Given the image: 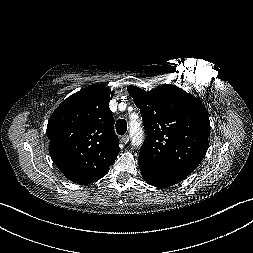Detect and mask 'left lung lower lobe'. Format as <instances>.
<instances>
[{
    "mask_svg": "<svg viewBox=\"0 0 253 253\" xmlns=\"http://www.w3.org/2000/svg\"><path fill=\"white\" fill-rule=\"evenodd\" d=\"M139 167L145 181L159 188L169 187L183 181L189 174L159 169L143 157H138Z\"/></svg>",
    "mask_w": 253,
    "mask_h": 253,
    "instance_id": "left-lung-lower-lobe-1",
    "label": "left lung lower lobe"
}]
</instances>
